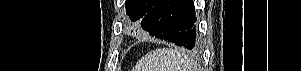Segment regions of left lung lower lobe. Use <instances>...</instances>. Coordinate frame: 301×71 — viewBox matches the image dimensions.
Segmentation results:
<instances>
[{
    "label": "left lung lower lobe",
    "mask_w": 301,
    "mask_h": 71,
    "mask_svg": "<svg viewBox=\"0 0 301 71\" xmlns=\"http://www.w3.org/2000/svg\"><path fill=\"white\" fill-rule=\"evenodd\" d=\"M141 27L151 36L187 49L196 50L199 46L192 0H158L142 18Z\"/></svg>",
    "instance_id": "left-lung-lower-lobe-1"
}]
</instances>
